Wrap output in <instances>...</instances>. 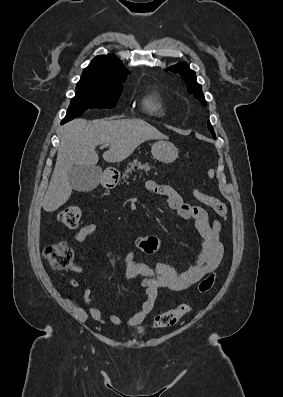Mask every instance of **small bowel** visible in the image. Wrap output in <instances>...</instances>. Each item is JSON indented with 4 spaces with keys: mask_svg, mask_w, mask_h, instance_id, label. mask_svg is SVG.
Masks as SVG:
<instances>
[{
    "mask_svg": "<svg viewBox=\"0 0 283 397\" xmlns=\"http://www.w3.org/2000/svg\"><path fill=\"white\" fill-rule=\"evenodd\" d=\"M146 189L164 198L168 207L174 210L180 219L192 221L196 233L202 239L201 249L196 259L182 271L166 263L150 266L136 261L134 252L127 253L124 258V278L131 280L137 276L143 277L141 287L146 294V300L128 319L111 314L109 321L117 326L134 327L141 324L151 314L161 289L180 291L190 288L206 274L216 270L224 254L220 237L221 224L218 220L210 222L205 209L186 203L181 195L169 185L150 180L146 183ZM97 228L96 222L84 225L75 233L76 241L84 242L95 233ZM136 244L143 253L153 254L158 250L160 242L155 236H142L137 239ZM73 270L78 274H83L80 267H74ZM90 295V289L85 288L83 297L89 306L91 317L103 323L102 311L91 304Z\"/></svg>",
    "mask_w": 283,
    "mask_h": 397,
    "instance_id": "obj_1",
    "label": "small bowel"
}]
</instances>
